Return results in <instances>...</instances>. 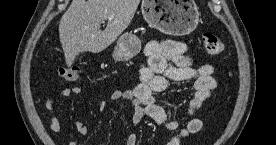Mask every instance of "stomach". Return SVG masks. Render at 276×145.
<instances>
[{"label": "stomach", "instance_id": "0dacf381", "mask_svg": "<svg viewBox=\"0 0 276 145\" xmlns=\"http://www.w3.org/2000/svg\"><path fill=\"white\" fill-rule=\"evenodd\" d=\"M141 9L151 27L173 36L191 33L199 21V11L194 0H143ZM140 49V39L132 32H126L118 39L112 56L116 61H127Z\"/></svg>", "mask_w": 276, "mask_h": 145}]
</instances>
